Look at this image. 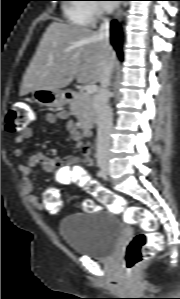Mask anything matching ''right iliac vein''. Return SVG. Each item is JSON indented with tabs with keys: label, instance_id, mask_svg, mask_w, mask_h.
Instances as JSON below:
<instances>
[{
	"label": "right iliac vein",
	"instance_id": "obj_1",
	"mask_svg": "<svg viewBox=\"0 0 180 299\" xmlns=\"http://www.w3.org/2000/svg\"><path fill=\"white\" fill-rule=\"evenodd\" d=\"M99 166L101 167V169L104 172L108 171V166L105 164V160L104 159L100 160Z\"/></svg>",
	"mask_w": 180,
	"mask_h": 299
}]
</instances>
